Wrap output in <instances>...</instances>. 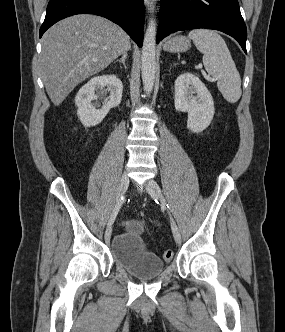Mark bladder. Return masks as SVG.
Segmentation results:
<instances>
[{"label": "bladder", "instance_id": "31cf9c89", "mask_svg": "<svg viewBox=\"0 0 285 332\" xmlns=\"http://www.w3.org/2000/svg\"><path fill=\"white\" fill-rule=\"evenodd\" d=\"M142 225L129 221L126 227L111 240V253L116 264L132 275L148 279L161 274L163 261L147 251L143 237Z\"/></svg>", "mask_w": 285, "mask_h": 332}]
</instances>
